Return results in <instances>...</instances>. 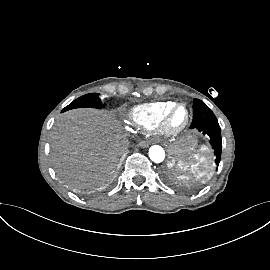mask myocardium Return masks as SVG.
Instances as JSON below:
<instances>
[{"label":"myocardium","mask_w":270,"mask_h":270,"mask_svg":"<svg viewBox=\"0 0 270 270\" xmlns=\"http://www.w3.org/2000/svg\"><path fill=\"white\" fill-rule=\"evenodd\" d=\"M179 108H184L185 112H186V116L185 119L183 121V123L177 127L173 126L172 124V118L175 114V112L179 109ZM190 110L188 108V106L184 103H176L164 116L162 123H161V129L162 131L171 137H175L180 135L181 133H183L185 131V129L187 128V126L189 125L190 122Z\"/></svg>","instance_id":"1"}]
</instances>
